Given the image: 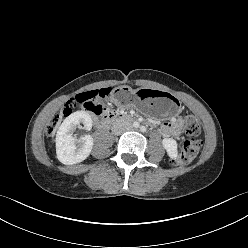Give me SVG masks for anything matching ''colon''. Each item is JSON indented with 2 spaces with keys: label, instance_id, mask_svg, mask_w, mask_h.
Returning <instances> with one entry per match:
<instances>
[{
  "label": "colon",
  "instance_id": "5ec220e1",
  "mask_svg": "<svg viewBox=\"0 0 248 248\" xmlns=\"http://www.w3.org/2000/svg\"><path fill=\"white\" fill-rule=\"evenodd\" d=\"M111 92L110 88H103L80 93L66 105L62 114H69L77 104L82 105L93 113L100 114L104 111L105 103L110 98ZM59 120L60 116L58 115L49 122L47 128L49 134L57 127ZM185 130L188 138L180 145L178 156L172 160L175 164L186 165L191 163L200 149L201 141L198 139L201 132L200 126L197 120L189 114H185Z\"/></svg>",
  "mask_w": 248,
  "mask_h": 248
}]
</instances>
